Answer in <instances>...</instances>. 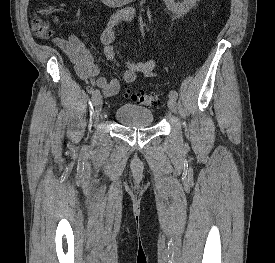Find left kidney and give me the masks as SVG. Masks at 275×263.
I'll return each mask as SVG.
<instances>
[{"mask_svg": "<svg viewBox=\"0 0 275 263\" xmlns=\"http://www.w3.org/2000/svg\"><path fill=\"white\" fill-rule=\"evenodd\" d=\"M196 1L197 0H183L182 2H175L174 0H164V3L172 13L183 15L195 5Z\"/></svg>", "mask_w": 275, "mask_h": 263, "instance_id": "5707ae66", "label": "left kidney"}]
</instances>
